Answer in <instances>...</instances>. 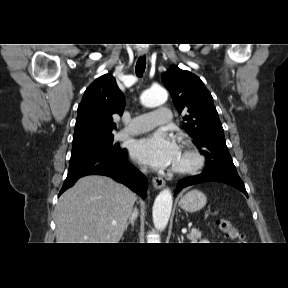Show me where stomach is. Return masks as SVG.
Masks as SVG:
<instances>
[{
    "label": "stomach",
    "mask_w": 288,
    "mask_h": 288,
    "mask_svg": "<svg viewBox=\"0 0 288 288\" xmlns=\"http://www.w3.org/2000/svg\"><path fill=\"white\" fill-rule=\"evenodd\" d=\"M207 199L204 193L199 190L187 192L179 201V206L187 212H196L206 205Z\"/></svg>",
    "instance_id": "stomach-1"
}]
</instances>
